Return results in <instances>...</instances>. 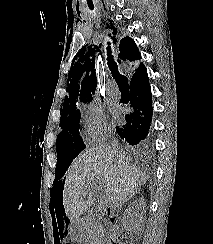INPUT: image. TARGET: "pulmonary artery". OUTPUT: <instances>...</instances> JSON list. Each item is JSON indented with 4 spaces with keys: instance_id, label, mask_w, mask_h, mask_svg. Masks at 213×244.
<instances>
[{
    "instance_id": "e3ab8cb5",
    "label": "pulmonary artery",
    "mask_w": 213,
    "mask_h": 244,
    "mask_svg": "<svg viewBox=\"0 0 213 244\" xmlns=\"http://www.w3.org/2000/svg\"><path fill=\"white\" fill-rule=\"evenodd\" d=\"M108 94L113 98L119 97V91L115 85H112L111 87L108 88Z\"/></svg>"
}]
</instances>
